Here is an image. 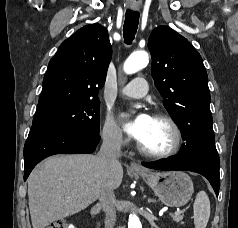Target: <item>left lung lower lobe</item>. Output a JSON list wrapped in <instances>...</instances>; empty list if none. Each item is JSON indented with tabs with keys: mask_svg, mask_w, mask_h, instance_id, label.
Returning a JSON list of instances; mask_svg holds the SVG:
<instances>
[{
	"mask_svg": "<svg viewBox=\"0 0 238 228\" xmlns=\"http://www.w3.org/2000/svg\"><path fill=\"white\" fill-rule=\"evenodd\" d=\"M142 165L157 170H187L199 173L208 179L216 195L218 196L219 194L220 159L217 151L203 154L185 162H181L177 156H171L153 163H142Z\"/></svg>",
	"mask_w": 238,
	"mask_h": 228,
	"instance_id": "obj_1",
	"label": "left lung lower lobe"
}]
</instances>
